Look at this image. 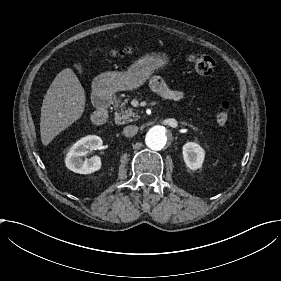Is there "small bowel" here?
<instances>
[{"label":"small bowel","mask_w":281,"mask_h":281,"mask_svg":"<svg viewBox=\"0 0 281 281\" xmlns=\"http://www.w3.org/2000/svg\"><path fill=\"white\" fill-rule=\"evenodd\" d=\"M149 85L154 92L167 100L180 102L185 98V94L182 91L171 89L159 76H152L149 80Z\"/></svg>","instance_id":"1"}]
</instances>
